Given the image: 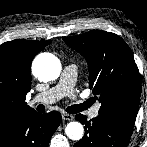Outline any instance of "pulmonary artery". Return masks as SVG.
I'll return each mask as SVG.
<instances>
[{"mask_svg": "<svg viewBox=\"0 0 147 147\" xmlns=\"http://www.w3.org/2000/svg\"><path fill=\"white\" fill-rule=\"evenodd\" d=\"M77 76V67L70 64L64 67L59 82L50 89L37 94L31 103L50 104L60 100L63 97L75 98L74 85ZM99 114V105H95L90 111L91 118L97 117Z\"/></svg>", "mask_w": 147, "mask_h": 147, "instance_id": "e3ab8cb5", "label": "pulmonary artery"}]
</instances>
